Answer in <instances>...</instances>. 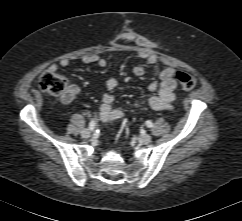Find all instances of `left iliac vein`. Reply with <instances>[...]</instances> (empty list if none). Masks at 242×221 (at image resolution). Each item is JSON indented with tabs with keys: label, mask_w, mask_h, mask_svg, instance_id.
Wrapping results in <instances>:
<instances>
[{
	"label": "left iliac vein",
	"mask_w": 242,
	"mask_h": 221,
	"mask_svg": "<svg viewBox=\"0 0 242 221\" xmlns=\"http://www.w3.org/2000/svg\"><path fill=\"white\" fill-rule=\"evenodd\" d=\"M152 140V137L149 134H142L138 137V141L141 144H149Z\"/></svg>",
	"instance_id": "obj_1"
}]
</instances>
